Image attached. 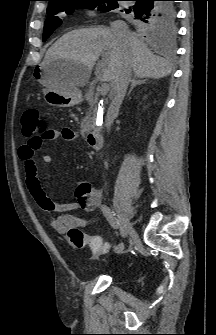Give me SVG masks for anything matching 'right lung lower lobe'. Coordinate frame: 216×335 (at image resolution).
Returning a JSON list of instances; mask_svg holds the SVG:
<instances>
[{"label": "right lung lower lobe", "instance_id": "1", "mask_svg": "<svg viewBox=\"0 0 216 335\" xmlns=\"http://www.w3.org/2000/svg\"><path fill=\"white\" fill-rule=\"evenodd\" d=\"M124 1V0H123ZM133 1V5L126 9L121 7L122 12L131 13L134 16L133 24L143 28L153 23H160L163 26L172 27L175 25L176 12L174 8H166L165 2L170 0H125ZM119 8V6L117 7Z\"/></svg>", "mask_w": 216, "mask_h": 335}]
</instances>
